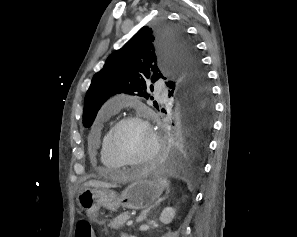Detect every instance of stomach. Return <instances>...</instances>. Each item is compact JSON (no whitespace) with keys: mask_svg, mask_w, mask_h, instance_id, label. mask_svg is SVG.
<instances>
[{"mask_svg":"<svg viewBox=\"0 0 297 237\" xmlns=\"http://www.w3.org/2000/svg\"><path fill=\"white\" fill-rule=\"evenodd\" d=\"M160 180L139 179L132 182L120 195L103 188L85 187L78 195V205L88 214H95L101 207L116 211L119 207L144 209L151 206L163 193Z\"/></svg>","mask_w":297,"mask_h":237,"instance_id":"obj_1","label":"stomach"}]
</instances>
